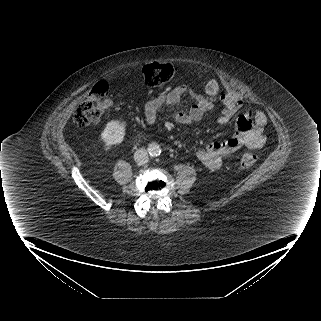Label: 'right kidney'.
Wrapping results in <instances>:
<instances>
[{"label": "right kidney", "instance_id": "right-kidney-1", "mask_svg": "<svg viewBox=\"0 0 321 321\" xmlns=\"http://www.w3.org/2000/svg\"><path fill=\"white\" fill-rule=\"evenodd\" d=\"M126 124L120 121H110L106 124L104 130L101 132L100 138L104 143L106 149L111 146L119 144L123 141L125 136Z\"/></svg>", "mask_w": 321, "mask_h": 321}]
</instances>
